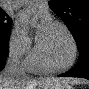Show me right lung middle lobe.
Returning a JSON list of instances; mask_svg holds the SVG:
<instances>
[{
  "label": "right lung middle lobe",
  "instance_id": "obj_1",
  "mask_svg": "<svg viewBox=\"0 0 89 89\" xmlns=\"http://www.w3.org/2000/svg\"><path fill=\"white\" fill-rule=\"evenodd\" d=\"M11 25L12 21L9 16L0 9V40L9 34Z\"/></svg>",
  "mask_w": 89,
  "mask_h": 89
}]
</instances>
